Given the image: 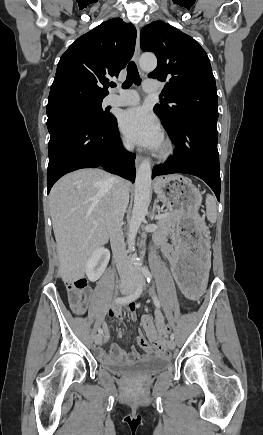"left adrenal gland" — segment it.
<instances>
[{
	"instance_id": "obj_1",
	"label": "left adrenal gland",
	"mask_w": 263,
	"mask_h": 435,
	"mask_svg": "<svg viewBox=\"0 0 263 435\" xmlns=\"http://www.w3.org/2000/svg\"><path fill=\"white\" fill-rule=\"evenodd\" d=\"M157 209H158L157 200H155L154 205H153V209H152V212H151V216H150L152 221L154 220L155 212H156Z\"/></svg>"
}]
</instances>
